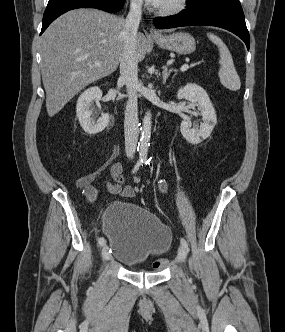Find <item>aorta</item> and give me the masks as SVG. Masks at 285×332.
<instances>
[{"label": "aorta", "mask_w": 285, "mask_h": 332, "mask_svg": "<svg viewBox=\"0 0 285 332\" xmlns=\"http://www.w3.org/2000/svg\"><path fill=\"white\" fill-rule=\"evenodd\" d=\"M151 113L147 111L143 118V125L141 128V138L139 143V156L141 159H146L148 154V148L151 138Z\"/></svg>", "instance_id": "762f6f07"}]
</instances>
